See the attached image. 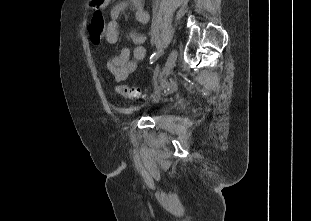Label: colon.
<instances>
[{
    "instance_id": "obj_1",
    "label": "colon",
    "mask_w": 311,
    "mask_h": 221,
    "mask_svg": "<svg viewBox=\"0 0 311 221\" xmlns=\"http://www.w3.org/2000/svg\"><path fill=\"white\" fill-rule=\"evenodd\" d=\"M105 23L101 11L94 13L91 22L89 23V32L94 43H98L104 36ZM171 83L166 82L163 85L162 91H169ZM114 93L123 95L129 99H139L144 96V91L140 87H129L123 84L114 87Z\"/></svg>"
}]
</instances>
